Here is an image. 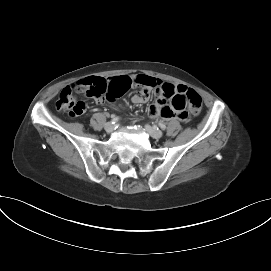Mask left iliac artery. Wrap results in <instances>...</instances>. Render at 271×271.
Listing matches in <instances>:
<instances>
[{"mask_svg":"<svg viewBox=\"0 0 271 271\" xmlns=\"http://www.w3.org/2000/svg\"><path fill=\"white\" fill-rule=\"evenodd\" d=\"M158 125H159V127H160L162 130H165V129H166V125H165V124L159 123Z\"/></svg>","mask_w":271,"mask_h":271,"instance_id":"left-iliac-artery-1","label":"left iliac artery"}]
</instances>
